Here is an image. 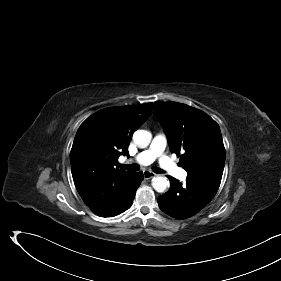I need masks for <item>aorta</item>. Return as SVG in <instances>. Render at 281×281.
I'll return each mask as SVG.
<instances>
[{"mask_svg": "<svg viewBox=\"0 0 281 281\" xmlns=\"http://www.w3.org/2000/svg\"><path fill=\"white\" fill-rule=\"evenodd\" d=\"M152 139V134L147 130H137L133 134V140L139 148H146ZM153 188L159 192H165L167 187H169V181L166 177L156 176L152 179Z\"/></svg>", "mask_w": 281, "mask_h": 281, "instance_id": "obj_1", "label": "aorta"}]
</instances>
